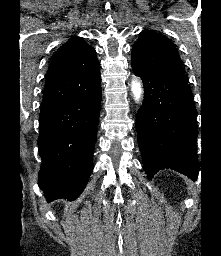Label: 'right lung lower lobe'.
Segmentation results:
<instances>
[{"instance_id":"98d812e1","label":"right lung lower lobe","mask_w":221,"mask_h":256,"mask_svg":"<svg viewBox=\"0 0 221 256\" xmlns=\"http://www.w3.org/2000/svg\"><path fill=\"white\" fill-rule=\"evenodd\" d=\"M101 87L68 103L41 110L38 137L42 159L38 185L48 202L75 200L93 170Z\"/></svg>"}]
</instances>
